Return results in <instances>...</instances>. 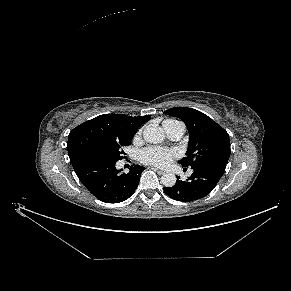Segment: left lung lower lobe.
<instances>
[{
    "instance_id": "1",
    "label": "left lung lower lobe",
    "mask_w": 291,
    "mask_h": 291,
    "mask_svg": "<svg viewBox=\"0 0 291 291\" xmlns=\"http://www.w3.org/2000/svg\"><path fill=\"white\" fill-rule=\"evenodd\" d=\"M225 167L226 165L217 163L194 165L191 167L193 173L186 181H181L177 177L174 186L163 189L169 197L177 201L199 200L215 188L225 171Z\"/></svg>"
}]
</instances>
